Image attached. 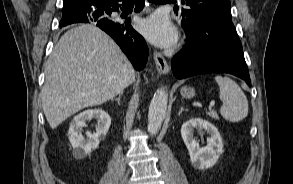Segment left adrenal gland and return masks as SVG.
Returning a JSON list of instances; mask_svg holds the SVG:
<instances>
[{
	"label": "left adrenal gland",
	"mask_w": 293,
	"mask_h": 184,
	"mask_svg": "<svg viewBox=\"0 0 293 184\" xmlns=\"http://www.w3.org/2000/svg\"><path fill=\"white\" fill-rule=\"evenodd\" d=\"M183 111H187V109H184V107L182 106L180 111H179V113H178V115H180Z\"/></svg>",
	"instance_id": "left-adrenal-gland-1"
}]
</instances>
